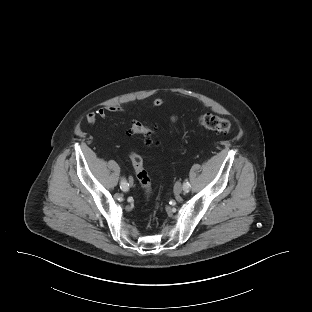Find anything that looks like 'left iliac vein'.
<instances>
[{
	"label": "left iliac vein",
	"instance_id": "1",
	"mask_svg": "<svg viewBox=\"0 0 312 312\" xmlns=\"http://www.w3.org/2000/svg\"><path fill=\"white\" fill-rule=\"evenodd\" d=\"M183 191V186L181 183H176L175 186H174V193L176 195H179L181 192Z\"/></svg>",
	"mask_w": 312,
	"mask_h": 312
}]
</instances>
